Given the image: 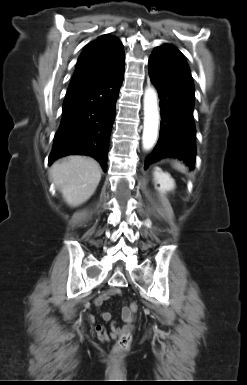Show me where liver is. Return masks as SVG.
<instances>
[{
    "label": "liver",
    "instance_id": "liver-1",
    "mask_svg": "<svg viewBox=\"0 0 247 385\" xmlns=\"http://www.w3.org/2000/svg\"><path fill=\"white\" fill-rule=\"evenodd\" d=\"M101 172L99 163L93 158L69 156L52 165L50 176L66 203L76 207L94 194Z\"/></svg>",
    "mask_w": 247,
    "mask_h": 385
}]
</instances>
